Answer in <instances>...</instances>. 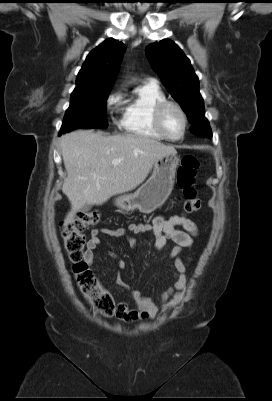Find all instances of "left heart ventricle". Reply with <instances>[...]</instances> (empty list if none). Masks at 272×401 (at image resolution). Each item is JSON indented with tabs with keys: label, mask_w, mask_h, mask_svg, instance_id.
Here are the masks:
<instances>
[{
	"label": "left heart ventricle",
	"mask_w": 272,
	"mask_h": 401,
	"mask_svg": "<svg viewBox=\"0 0 272 401\" xmlns=\"http://www.w3.org/2000/svg\"><path fill=\"white\" fill-rule=\"evenodd\" d=\"M164 127L171 137H179L183 131V119L175 108L166 110L163 117Z\"/></svg>",
	"instance_id": "1"
}]
</instances>
